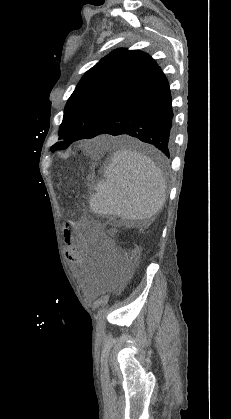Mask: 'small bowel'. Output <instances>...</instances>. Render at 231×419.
I'll use <instances>...</instances> for the list:
<instances>
[{
	"label": "small bowel",
	"mask_w": 231,
	"mask_h": 419,
	"mask_svg": "<svg viewBox=\"0 0 231 419\" xmlns=\"http://www.w3.org/2000/svg\"><path fill=\"white\" fill-rule=\"evenodd\" d=\"M64 238L67 246L66 256L74 266H80L86 262L90 255V242L83 234V225L70 223L64 230Z\"/></svg>",
	"instance_id": "small-bowel-1"
}]
</instances>
